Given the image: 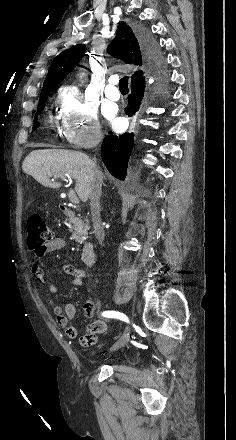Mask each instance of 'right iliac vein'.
Here are the masks:
<instances>
[{"label": "right iliac vein", "instance_id": "1", "mask_svg": "<svg viewBox=\"0 0 236 440\" xmlns=\"http://www.w3.org/2000/svg\"><path fill=\"white\" fill-rule=\"evenodd\" d=\"M129 328L126 327L124 334L119 339V341L113 346V350H118L123 347L128 341Z\"/></svg>", "mask_w": 236, "mask_h": 440}]
</instances>
